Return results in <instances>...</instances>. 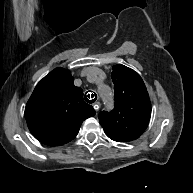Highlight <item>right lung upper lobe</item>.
Wrapping results in <instances>:
<instances>
[{
    "label": "right lung upper lobe",
    "instance_id": "obj_1",
    "mask_svg": "<svg viewBox=\"0 0 193 193\" xmlns=\"http://www.w3.org/2000/svg\"><path fill=\"white\" fill-rule=\"evenodd\" d=\"M95 115L73 84L68 70L56 68L35 87L25 108L30 132L42 143L59 146L71 141L82 122Z\"/></svg>",
    "mask_w": 193,
    "mask_h": 193
}]
</instances>
